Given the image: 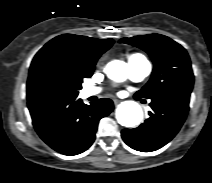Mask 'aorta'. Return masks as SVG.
<instances>
[{
  "instance_id": "aorta-1",
  "label": "aorta",
  "mask_w": 212,
  "mask_h": 183,
  "mask_svg": "<svg viewBox=\"0 0 212 183\" xmlns=\"http://www.w3.org/2000/svg\"><path fill=\"white\" fill-rule=\"evenodd\" d=\"M107 76L115 81H121L127 73V64L120 60L109 62L105 68ZM118 123L125 127H134L143 119V111L135 101L122 102L116 110Z\"/></svg>"
}]
</instances>
